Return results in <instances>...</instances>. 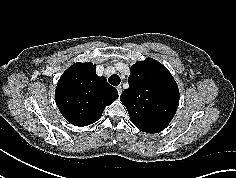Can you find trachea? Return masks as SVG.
I'll list each match as a JSON object with an SVG mask.
<instances>
[{"instance_id": "trachea-1", "label": "trachea", "mask_w": 236, "mask_h": 178, "mask_svg": "<svg viewBox=\"0 0 236 178\" xmlns=\"http://www.w3.org/2000/svg\"><path fill=\"white\" fill-rule=\"evenodd\" d=\"M108 82L113 86H118L121 82V79L118 75H112L108 78Z\"/></svg>"}]
</instances>
